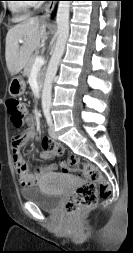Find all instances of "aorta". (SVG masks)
I'll return each mask as SVG.
<instances>
[{"label":"aorta","instance_id":"obj_1","mask_svg":"<svg viewBox=\"0 0 133 253\" xmlns=\"http://www.w3.org/2000/svg\"><path fill=\"white\" fill-rule=\"evenodd\" d=\"M69 11L70 1H59L56 13L58 37L53 55L48 64L42 90V108L44 113H49L50 110L52 83L57 73L58 65L64 53L69 35Z\"/></svg>","mask_w":133,"mask_h":253}]
</instances>
